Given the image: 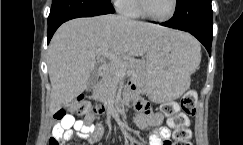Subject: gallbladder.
Segmentation results:
<instances>
[{
  "label": "gallbladder",
  "instance_id": "obj_1",
  "mask_svg": "<svg viewBox=\"0 0 243 145\" xmlns=\"http://www.w3.org/2000/svg\"><path fill=\"white\" fill-rule=\"evenodd\" d=\"M97 79H98V65L95 66V68L92 70V72L89 76L87 90L92 89V87L96 83Z\"/></svg>",
  "mask_w": 243,
  "mask_h": 145
}]
</instances>
